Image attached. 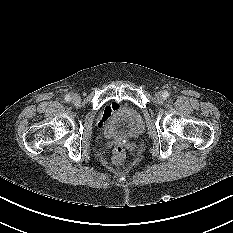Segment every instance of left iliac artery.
<instances>
[{
  "mask_svg": "<svg viewBox=\"0 0 233 233\" xmlns=\"http://www.w3.org/2000/svg\"><path fill=\"white\" fill-rule=\"evenodd\" d=\"M169 92L168 91H165L164 93H163V97L166 99V98H168L169 97Z\"/></svg>",
  "mask_w": 233,
  "mask_h": 233,
  "instance_id": "obj_1",
  "label": "left iliac artery"
}]
</instances>
